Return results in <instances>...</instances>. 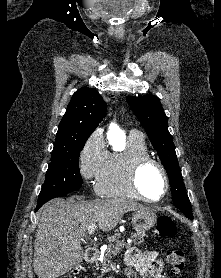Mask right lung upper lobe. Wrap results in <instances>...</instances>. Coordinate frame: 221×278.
<instances>
[{"label":"right lung upper lobe","instance_id":"1","mask_svg":"<svg viewBox=\"0 0 221 278\" xmlns=\"http://www.w3.org/2000/svg\"><path fill=\"white\" fill-rule=\"evenodd\" d=\"M106 116V103L101 95L88 87L75 92L59 124L54 148L86 142Z\"/></svg>","mask_w":221,"mask_h":278}]
</instances>
